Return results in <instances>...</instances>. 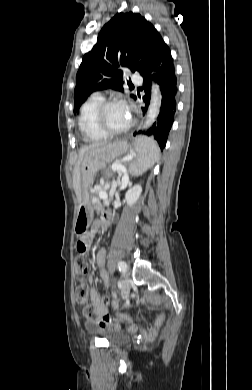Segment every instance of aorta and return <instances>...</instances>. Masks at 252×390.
I'll return each mask as SVG.
<instances>
[{
  "mask_svg": "<svg viewBox=\"0 0 252 390\" xmlns=\"http://www.w3.org/2000/svg\"><path fill=\"white\" fill-rule=\"evenodd\" d=\"M161 99L162 97L160 87L156 84H153L150 105L143 126L144 129L150 127L156 121V118L160 112Z\"/></svg>",
  "mask_w": 252,
  "mask_h": 390,
  "instance_id": "1",
  "label": "aorta"
}]
</instances>
